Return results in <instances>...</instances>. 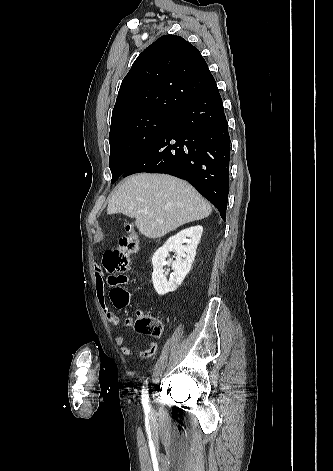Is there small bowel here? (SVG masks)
<instances>
[{"mask_svg": "<svg viewBox=\"0 0 333 471\" xmlns=\"http://www.w3.org/2000/svg\"><path fill=\"white\" fill-rule=\"evenodd\" d=\"M102 268L99 265H95V287H96V295L97 300L104 310L106 314V319L109 324L119 327L120 326V318L113 312L108 311L106 305V295H105V287L104 282L102 279ZM135 318L133 316H129L124 320V326L126 328H130L133 326ZM116 345L120 348L122 354L126 356H138L140 358H150L153 356L157 349L158 345L154 342L150 343L148 348L143 351H135L132 348L125 345V338L123 335H118L115 338Z\"/></svg>", "mask_w": 333, "mask_h": 471, "instance_id": "c3829d8e", "label": "small bowel"}]
</instances>
